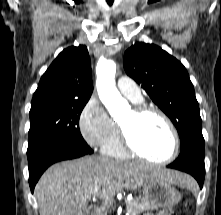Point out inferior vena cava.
Segmentation results:
<instances>
[{"label":"inferior vena cava","instance_id":"obj_1","mask_svg":"<svg viewBox=\"0 0 221 215\" xmlns=\"http://www.w3.org/2000/svg\"><path fill=\"white\" fill-rule=\"evenodd\" d=\"M98 215H102V212L99 210Z\"/></svg>","mask_w":221,"mask_h":215}]
</instances>
